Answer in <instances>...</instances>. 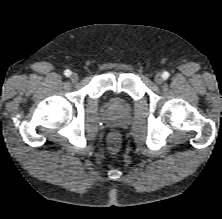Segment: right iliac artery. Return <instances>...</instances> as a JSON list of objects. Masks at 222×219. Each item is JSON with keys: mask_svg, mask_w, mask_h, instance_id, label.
<instances>
[{"mask_svg": "<svg viewBox=\"0 0 222 219\" xmlns=\"http://www.w3.org/2000/svg\"><path fill=\"white\" fill-rule=\"evenodd\" d=\"M64 75L67 76V77H69V76L71 75V71L68 70V69L65 70V71H64Z\"/></svg>", "mask_w": 222, "mask_h": 219, "instance_id": "obj_1", "label": "right iliac artery"}]
</instances>
